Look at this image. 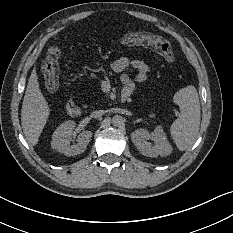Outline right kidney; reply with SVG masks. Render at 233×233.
Masks as SVG:
<instances>
[{"mask_svg":"<svg viewBox=\"0 0 233 233\" xmlns=\"http://www.w3.org/2000/svg\"><path fill=\"white\" fill-rule=\"evenodd\" d=\"M75 122L68 120L62 123L52 135L51 147L66 156H75L83 153L91 141L92 132L83 131L77 137V143L70 145L69 137L72 136Z\"/></svg>","mask_w":233,"mask_h":233,"instance_id":"1","label":"right kidney"}]
</instances>
